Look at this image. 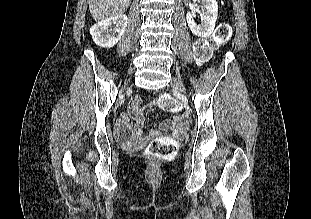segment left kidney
<instances>
[{
	"mask_svg": "<svg viewBox=\"0 0 311 219\" xmlns=\"http://www.w3.org/2000/svg\"><path fill=\"white\" fill-rule=\"evenodd\" d=\"M201 4V23L194 20V13L186 15L187 24L192 33L198 37H208L212 34L218 16V4L216 0H194Z\"/></svg>",
	"mask_w": 311,
	"mask_h": 219,
	"instance_id": "1",
	"label": "left kidney"
}]
</instances>
